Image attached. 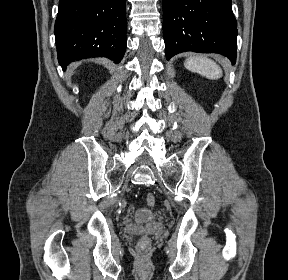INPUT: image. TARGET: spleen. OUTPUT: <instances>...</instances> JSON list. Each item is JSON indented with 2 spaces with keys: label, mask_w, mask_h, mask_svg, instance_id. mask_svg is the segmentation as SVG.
<instances>
[{
  "label": "spleen",
  "mask_w": 288,
  "mask_h": 280,
  "mask_svg": "<svg viewBox=\"0 0 288 280\" xmlns=\"http://www.w3.org/2000/svg\"><path fill=\"white\" fill-rule=\"evenodd\" d=\"M184 66L193 72H196L208 79H219L223 75V71L219 65L211 59L202 55H195L187 58Z\"/></svg>",
  "instance_id": "spleen-1"
}]
</instances>
